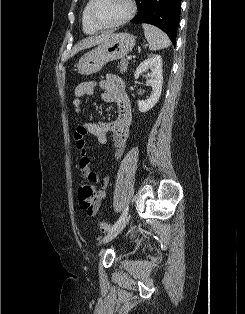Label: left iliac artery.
<instances>
[{
	"instance_id": "44dca946",
	"label": "left iliac artery",
	"mask_w": 245,
	"mask_h": 314,
	"mask_svg": "<svg viewBox=\"0 0 245 314\" xmlns=\"http://www.w3.org/2000/svg\"><path fill=\"white\" fill-rule=\"evenodd\" d=\"M127 213H128V206L124 209L123 213L121 214L117 222L113 225V227L110 229V231L114 230L117 227V225L124 219Z\"/></svg>"
}]
</instances>
